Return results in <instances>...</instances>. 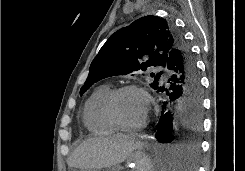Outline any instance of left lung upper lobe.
<instances>
[{"mask_svg": "<svg viewBox=\"0 0 245 171\" xmlns=\"http://www.w3.org/2000/svg\"><path fill=\"white\" fill-rule=\"evenodd\" d=\"M185 42L169 20L145 16L112 34L90 65L89 75L80 90L82 96L94 83L106 77L132 75L148 67H165L170 54ZM162 72L151 73L158 89Z\"/></svg>", "mask_w": 245, "mask_h": 171, "instance_id": "1", "label": "left lung upper lobe"}]
</instances>
